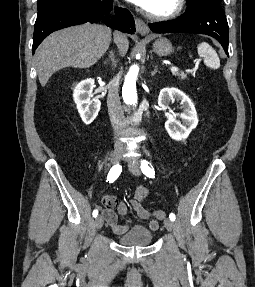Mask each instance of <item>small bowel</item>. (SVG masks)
Listing matches in <instances>:
<instances>
[{"label":"small bowel","instance_id":"obj_1","mask_svg":"<svg viewBox=\"0 0 255 287\" xmlns=\"http://www.w3.org/2000/svg\"><path fill=\"white\" fill-rule=\"evenodd\" d=\"M147 195L148 190L143 186H139L136 189L134 198L130 200L129 204L124 201H118L115 197L109 195L103 198L102 214L115 235L124 234L130 227V220L126 217L128 206L133 209L139 218L148 221L150 230L156 231L158 229L157 219L153 218L151 212L142 205ZM118 215L123 217L124 223H119Z\"/></svg>","mask_w":255,"mask_h":287}]
</instances>
